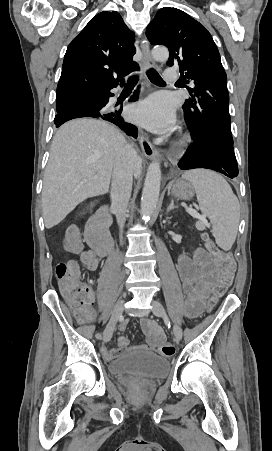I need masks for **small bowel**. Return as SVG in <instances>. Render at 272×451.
<instances>
[{
	"instance_id": "obj_1",
	"label": "small bowel",
	"mask_w": 272,
	"mask_h": 451,
	"mask_svg": "<svg viewBox=\"0 0 272 451\" xmlns=\"http://www.w3.org/2000/svg\"><path fill=\"white\" fill-rule=\"evenodd\" d=\"M214 260V255L203 248L193 249L191 255L182 253L178 256L176 268L184 290L183 309L189 316H196L201 310L202 300L206 293V272ZM100 262L101 256L92 248H84L82 244L79 263L82 267L84 263L88 264L87 268L83 267L85 271H96ZM142 328L147 334L145 344L131 347L128 338L120 336L116 348L103 350L104 358L110 361L128 350H154L164 342L165 336L154 322L143 320Z\"/></svg>"
}]
</instances>
